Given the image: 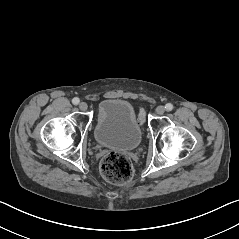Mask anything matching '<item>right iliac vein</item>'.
<instances>
[{
	"label": "right iliac vein",
	"mask_w": 239,
	"mask_h": 239,
	"mask_svg": "<svg viewBox=\"0 0 239 239\" xmlns=\"http://www.w3.org/2000/svg\"><path fill=\"white\" fill-rule=\"evenodd\" d=\"M79 108H80V110L85 111V110H87L88 105H87V103H85V102H81V103L79 104Z\"/></svg>",
	"instance_id": "63e3f726"
}]
</instances>
